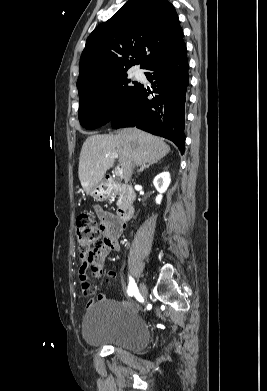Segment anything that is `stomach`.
Wrapping results in <instances>:
<instances>
[{
    "mask_svg": "<svg viewBox=\"0 0 267 391\" xmlns=\"http://www.w3.org/2000/svg\"><path fill=\"white\" fill-rule=\"evenodd\" d=\"M111 194V186L105 181H101L97 185H95L91 192L90 195L96 199V200H103L109 197Z\"/></svg>",
    "mask_w": 267,
    "mask_h": 391,
    "instance_id": "0dacf381",
    "label": "stomach"
}]
</instances>
